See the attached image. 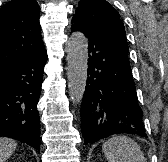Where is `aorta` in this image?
I'll return each mask as SVG.
<instances>
[{
	"label": "aorta",
	"instance_id": "1",
	"mask_svg": "<svg viewBox=\"0 0 168 162\" xmlns=\"http://www.w3.org/2000/svg\"><path fill=\"white\" fill-rule=\"evenodd\" d=\"M67 76L71 101H82L88 69V42L81 32H73L67 42Z\"/></svg>",
	"mask_w": 168,
	"mask_h": 162
}]
</instances>
